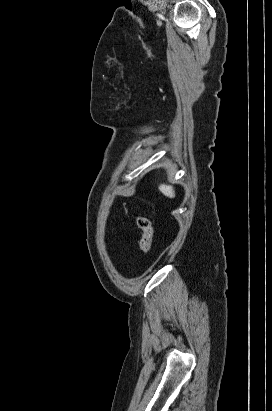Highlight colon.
Returning <instances> with one entry per match:
<instances>
[{
    "mask_svg": "<svg viewBox=\"0 0 272 411\" xmlns=\"http://www.w3.org/2000/svg\"><path fill=\"white\" fill-rule=\"evenodd\" d=\"M136 222L140 230L139 247L142 252L149 253L153 240V229L151 221L145 216H138Z\"/></svg>",
    "mask_w": 272,
    "mask_h": 411,
    "instance_id": "5ec220e1",
    "label": "colon"
}]
</instances>
